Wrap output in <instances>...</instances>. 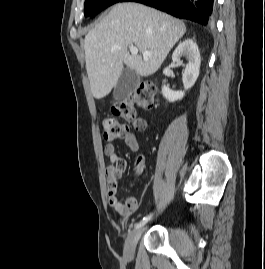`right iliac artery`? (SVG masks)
Masks as SVG:
<instances>
[{
    "label": "right iliac artery",
    "mask_w": 265,
    "mask_h": 269,
    "mask_svg": "<svg viewBox=\"0 0 265 269\" xmlns=\"http://www.w3.org/2000/svg\"><path fill=\"white\" fill-rule=\"evenodd\" d=\"M152 214H150L149 216L147 217H144L139 223H137L135 225V228H140L142 227L150 218H151Z\"/></svg>",
    "instance_id": "right-iliac-artery-1"
}]
</instances>
